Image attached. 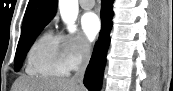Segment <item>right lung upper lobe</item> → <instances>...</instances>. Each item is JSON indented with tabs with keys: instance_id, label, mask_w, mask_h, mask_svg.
<instances>
[{
	"instance_id": "cb5924a9",
	"label": "right lung upper lobe",
	"mask_w": 173,
	"mask_h": 91,
	"mask_svg": "<svg viewBox=\"0 0 173 91\" xmlns=\"http://www.w3.org/2000/svg\"><path fill=\"white\" fill-rule=\"evenodd\" d=\"M57 0H30L25 12L22 32L47 25L57 10Z\"/></svg>"
}]
</instances>
